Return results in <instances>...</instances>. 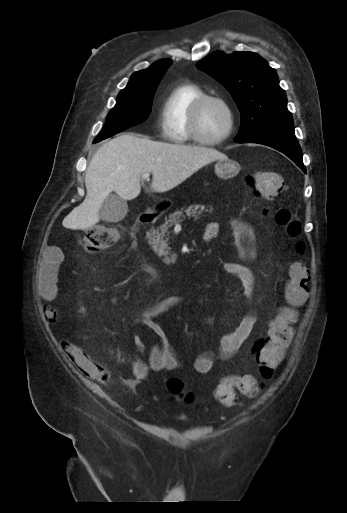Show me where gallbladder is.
I'll return each mask as SVG.
<instances>
[{
	"mask_svg": "<svg viewBox=\"0 0 347 513\" xmlns=\"http://www.w3.org/2000/svg\"><path fill=\"white\" fill-rule=\"evenodd\" d=\"M127 212L128 205L125 200L115 194H109L101 205L99 216L106 222L116 223L123 220Z\"/></svg>",
	"mask_w": 347,
	"mask_h": 513,
	"instance_id": "bac80fb5",
	"label": "gallbladder"
}]
</instances>
